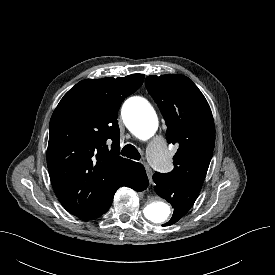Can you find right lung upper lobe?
Wrapping results in <instances>:
<instances>
[{"instance_id":"1","label":"right lung upper lobe","mask_w":275,"mask_h":275,"mask_svg":"<svg viewBox=\"0 0 275 275\" xmlns=\"http://www.w3.org/2000/svg\"><path fill=\"white\" fill-rule=\"evenodd\" d=\"M143 80V74L83 80L56 107L49 126L47 165L53 189L70 214L95 218L137 165L119 156L117 117L123 100Z\"/></svg>"}]
</instances>
